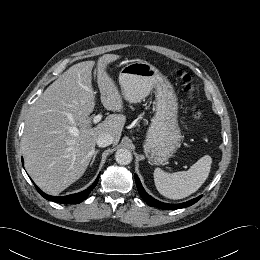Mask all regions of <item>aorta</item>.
<instances>
[{"instance_id":"1","label":"aorta","mask_w":260,"mask_h":260,"mask_svg":"<svg viewBox=\"0 0 260 260\" xmlns=\"http://www.w3.org/2000/svg\"><path fill=\"white\" fill-rule=\"evenodd\" d=\"M115 159L120 165H128L132 161V153L126 148H121L116 151Z\"/></svg>"}]
</instances>
